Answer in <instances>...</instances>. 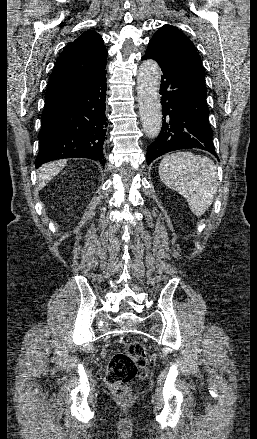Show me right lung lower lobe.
<instances>
[{
  "label": "right lung lower lobe",
  "mask_w": 257,
  "mask_h": 439,
  "mask_svg": "<svg viewBox=\"0 0 257 439\" xmlns=\"http://www.w3.org/2000/svg\"><path fill=\"white\" fill-rule=\"evenodd\" d=\"M106 88L103 71L90 80L46 95L36 168L52 160L76 157L105 166Z\"/></svg>",
  "instance_id": "obj_1"
}]
</instances>
